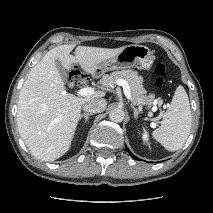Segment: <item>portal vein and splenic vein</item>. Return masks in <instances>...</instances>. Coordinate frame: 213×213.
Returning <instances> with one entry per match:
<instances>
[{
  "label": "portal vein and splenic vein",
  "mask_w": 213,
  "mask_h": 213,
  "mask_svg": "<svg viewBox=\"0 0 213 213\" xmlns=\"http://www.w3.org/2000/svg\"><path fill=\"white\" fill-rule=\"evenodd\" d=\"M116 84L119 85V86H122L124 95L127 97L128 100L133 102V99H132V96H131V89L129 87L128 82L124 79H118L116 81ZM94 93H95V90L92 87H85V88H82V89H79V90L76 91V94L78 96H83V97L91 96ZM63 94H66V91H63ZM156 110H157V107H156V105H154L151 108V111L155 112ZM149 116H152L151 112L149 113Z\"/></svg>",
  "instance_id": "obj_1"
}]
</instances>
